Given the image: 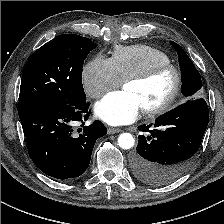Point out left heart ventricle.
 I'll list each match as a JSON object with an SVG mask.
<instances>
[{
    "mask_svg": "<svg viewBox=\"0 0 224 224\" xmlns=\"http://www.w3.org/2000/svg\"><path fill=\"white\" fill-rule=\"evenodd\" d=\"M174 78L171 72H163L147 82L127 83L124 90L137 96L142 109L161 103L171 92Z\"/></svg>",
    "mask_w": 224,
    "mask_h": 224,
    "instance_id": "1",
    "label": "left heart ventricle"
}]
</instances>
